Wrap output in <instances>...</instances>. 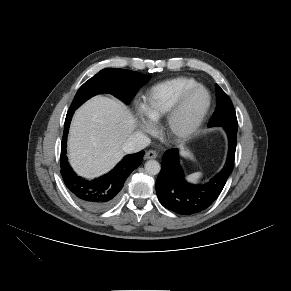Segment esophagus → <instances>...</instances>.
<instances>
[{"label":"esophagus","instance_id":"esophagus-1","mask_svg":"<svg viewBox=\"0 0 291 291\" xmlns=\"http://www.w3.org/2000/svg\"><path fill=\"white\" fill-rule=\"evenodd\" d=\"M157 156L158 154L155 150H149L145 154V159H155Z\"/></svg>","mask_w":291,"mask_h":291}]
</instances>
